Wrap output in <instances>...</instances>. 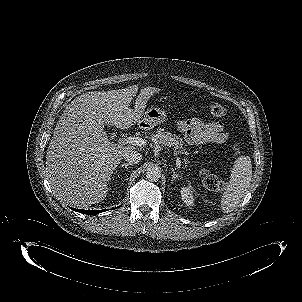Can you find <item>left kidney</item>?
<instances>
[{"instance_id": "5707ae66", "label": "left kidney", "mask_w": 302, "mask_h": 302, "mask_svg": "<svg viewBox=\"0 0 302 302\" xmlns=\"http://www.w3.org/2000/svg\"><path fill=\"white\" fill-rule=\"evenodd\" d=\"M181 197L184 203L188 206L191 207L194 205V198L192 195V188L191 187H182L181 188Z\"/></svg>"}]
</instances>
